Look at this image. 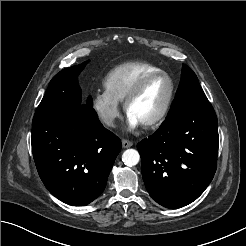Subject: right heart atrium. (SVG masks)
Masks as SVG:
<instances>
[{
	"label": "right heart atrium",
	"mask_w": 246,
	"mask_h": 246,
	"mask_svg": "<svg viewBox=\"0 0 246 246\" xmlns=\"http://www.w3.org/2000/svg\"><path fill=\"white\" fill-rule=\"evenodd\" d=\"M91 106L100 122L113 128L120 116V106L106 91H97L91 99Z\"/></svg>",
	"instance_id": "obj_1"
}]
</instances>
